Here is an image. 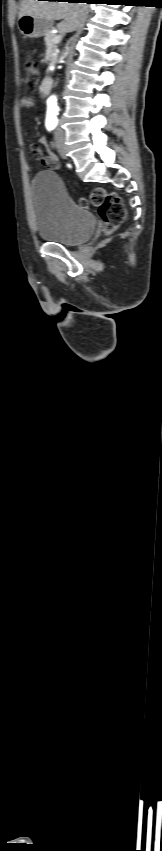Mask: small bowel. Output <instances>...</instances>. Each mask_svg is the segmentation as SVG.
<instances>
[{
    "instance_id": "c3829d8e",
    "label": "small bowel",
    "mask_w": 162,
    "mask_h": 851,
    "mask_svg": "<svg viewBox=\"0 0 162 851\" xmlns=\"http://www.w3.org/2000/svg\"><path fill=\"white\" fill-rule=\"evenodd\" d=\"M20 106L24 109H31L35 107V101L32 98H23L20 101ZM47 141L44 137L39 138V145L32 144L30 149L34 157L44 166L50 169H57L59 167V161L55 154L49 153L45 155L44 150L41 146H46Z\"/></svg>"
}]
</instances>
